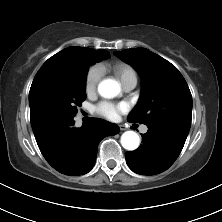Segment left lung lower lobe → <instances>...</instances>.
<instances>
[{
  "mask_svg": "<svg viewBox=\"0 0 222 222\" xmlns=\"http://www.w3.org/2000/svg\"><path fill=\"white\" fill-rule=\"evenodd\" d=\"M147 127L148 132L142 134L140 147L126 152L125 157L129 168L135 173L155 175L167 170L175 162L190 128L174 120L147 124Z\"/></svg>",
  "mask_w": 222,
  "mask_h": 222,
  "instance_id": "0a47b994",
  "label": "left lung lower lobe"
}]
</instances>
